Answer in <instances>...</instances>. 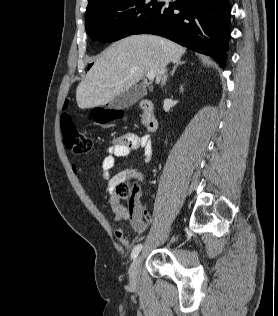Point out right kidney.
<instances>
[{
  "label": "right kidney",
  "instance_id": "right-kidney-1",
  "mask_svg": "<svg viewBox=\"0 0 278 316\" xmlns=\"http://www.w3.org/2000/svg\"><path fill=\"white\" fill-rule=\"evenodd\" d=\"M180 91H181V92L183 91V87H182V86L180 87Z\"/></svg>",
  "mask_w": 278,
  "mask_h": 316
}]
</instances>
